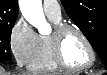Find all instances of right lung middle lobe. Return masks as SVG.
<instances>
[{"mask_svg": "<svg viewBox=\"0 0 107 75\" xmlns=\"http://www.w3.org/2000/svg\"><path fill=\"white\" fill-rule=\"evenodd\" d=\"M14 23L0 24V60H11L10 40Z\"/></svg>", "mask_w": 107, "mask_h": 75, "instance_id": "obj_1", "label": "right lung middle lobe"}]
</instances>
